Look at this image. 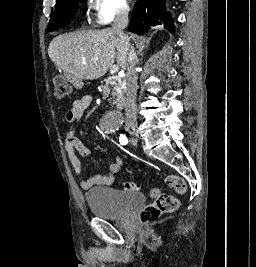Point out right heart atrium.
Wrapping results in <instances>:
<instances>
[{
    "label": "right heart atrium",
    "mask_w": 256,
    "mask_h": 267,
    "mask_svg": "<svg viewBox=\"0 0 256 267\" xmlns=\"http://www.w3.org/2000/svg\"><path fill=\"white\" fill-rule=\"evenodd\" d=\"M117 16L115 17H108V16H105L101 13H96L95 15V22H108L109 25L113 23V21L115 20Z\"/></svg>",
    "instance_id": "obj_1"
}]
</instances>
